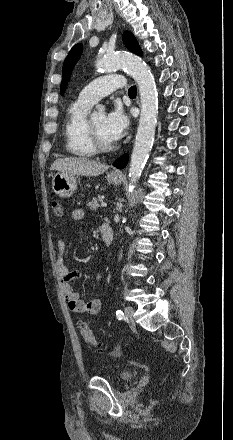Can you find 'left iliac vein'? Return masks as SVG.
<instances>
[{"instance_id": "left-iliac-vein-1", "label": "left iliac vein", "mask_w": 233, "mask_h": 440, "mask_svg": "<svg viewBox=\"0 0 233 440\" xmlns=\"http://www.w3.org/2000/svg\"><path fill=\"white\" fill-rule=\"evenodd\" d=\"M134 309L131 306L125 307V316L128 320H132Z\"/></svg>"}]
</instances>
